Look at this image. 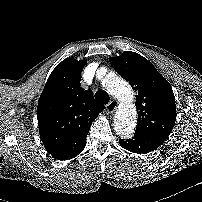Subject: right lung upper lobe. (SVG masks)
<instances>
[{
	"instance_id": "obj_1",
	"label": "right lung upper lobe",
	"mask_w": 202,
	"mask_h": 202,
	"mask_svg": "<svg viewBox=\"0 0 202 202\" xmlns=\"http://www.w3.org/2000/svg\"><path fill=\"white\" fill-rule=\"evenodd\" d=\"M86 60H63L50 74L40 96L37 119L40 138L55 159L76 157L85 146L92 122L104 109L90 90L80 87Z\"/></svg>"
}]
</instances>
